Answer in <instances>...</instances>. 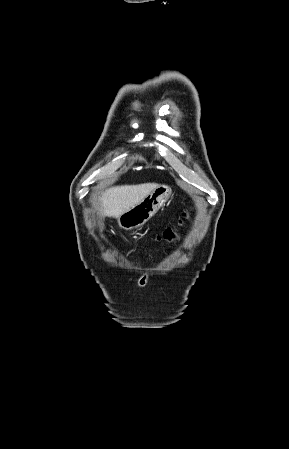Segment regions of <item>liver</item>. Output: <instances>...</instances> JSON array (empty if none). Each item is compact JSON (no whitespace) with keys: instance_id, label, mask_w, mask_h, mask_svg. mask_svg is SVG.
Here are the masks:
<instances>
[{"instance_id":"obj_1","label":"liver","mask_w":289,"mask_h":449,"mask_svg":"<svg viewBox=\"0 0 289 449\" xmlns=\"http://www.w3.org/2000/svg\"><path fill=\"white\" fill-rule=\"evenodd\" d=\"M156 187L155 183H146L117 186L107 190L99 197L103 214L107 217H119L140 203Z\"/></svg>"}]
</instances>
